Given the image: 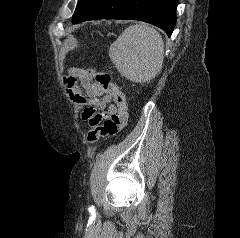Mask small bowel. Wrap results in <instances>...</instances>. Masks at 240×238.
<instances>
[{"mask_svg": "<svg viewBox=\"0 0 240 238\" xmlns=\"http://www.w3.org/2000/svg\"><path fill=\"white\" fill-rule=\"evenodd\" d=\"M92 79V70L76 67L70 68L64 78L67 94L74 103L84 106L81 118L91 127L118 112L112 97Z\"/></svg>", "mask_w": 240, "mask_h": 238, "instance_id": "c3829d8e", "label": "small bowel"}]
</instances>
